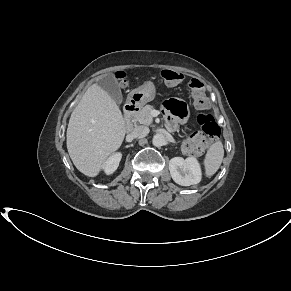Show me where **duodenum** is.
Returning <instances> with one entry per match:
<instances>
[{"label": "duodenum", "mask_w": 291, "mask_h": 291, "mask_svg": "<svg viewBox=\"0 0 291 291\" xmlns=\"http://www.w3.org/2000/svg\"><path fill=\"white\" fill-rule=\"evenodd\" d=\"M138 111V105L135 104L134 102H129L125 105L124 108V117L126 121V125L129 128L131 125L132 118Z\"/></svg>", "instance_id": "1"}]
</instances>
